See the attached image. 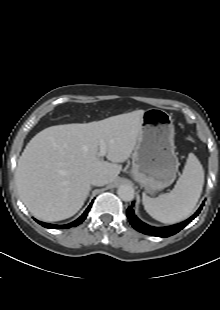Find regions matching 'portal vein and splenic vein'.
<instances>
[{"label": "portal vein and splenic vein", "mask_w": 220, "mask_h": 310, "mask_svg": "<svg viewBox=\"0 0 220 310\" xmlns=\"http://www.w3.org/2000/svg\"><path fill=\"white\" fill-rule=\"evenodd\" d=\"M107 153V146L104 142L100 143V149H99V157H104Z\"/></svg>", "instance_id": "portal-vein-and-splenic-vein-1"}]
</instances>
